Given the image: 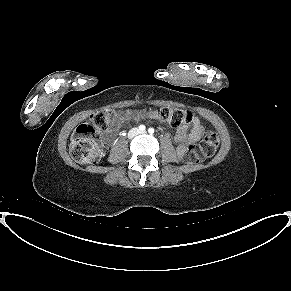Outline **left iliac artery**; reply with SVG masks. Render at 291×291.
Returning a JSON list of instances; mask_svg holds the SVG:
<instances>
[{
    "label": "left iliac artery",
    "mask_w": 291,
    "mask_h": 291,
    "mask_svg": "<svg viewBox=\"0 0 291 291\" xmlns=\"http://www.w3.org/2000/svg\"><path fill=\"white\" fill-rule=\"evenodd\" d=\"M148 132H149L150 134H153V133H154V128H149V129H148Z\"/></svg>",
    "instance_id": "44dca946"
}]
</instances>
